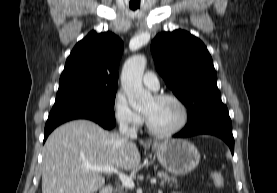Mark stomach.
Instances as JSON below:
<instances>
[{"mask_svg":"<svg viewBox=\"0 0 277 193\" xmlns=\"http://www.w3.org/2000/svg\"><path fill=\"white\" fill-rule=\"evenodd\" d=\"M153 149L163 168L174 175H185L199 164L198 149L184 139H170L154 143Z\"/></svg>","mask_w":277,"mask_h":193,"instance_id":"1","label":"stomach"}]
</instances>
